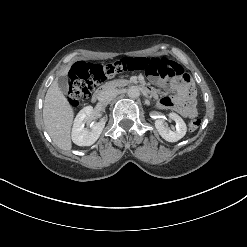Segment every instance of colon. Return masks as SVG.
Listing matches in <instances>:
<instances>
[{"label":"colon","mask_w":247,"mask_h":247,"mask_svg":"<svg viewBox=\"0 0 247 247\" xmlns=\"http://www.w3.org/2000/svg\"><path fill=\"white\" fill-rule=\"evenodd\" d=\"M149 61L151 60L145 57H128L108 64H93L83 61L75 63L69 72L67 97L70 105L78 106L80 100L89 96L107 78L125 72L142 71ZM175 76L189 81L187 74L176 73ZM201 122L199 115L192 116L188 123L189 130H196Z\"/></svg>","instance_id":"5ec220e1"}]
</instances>
